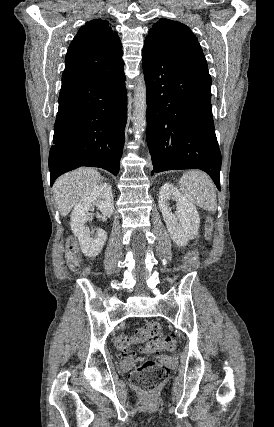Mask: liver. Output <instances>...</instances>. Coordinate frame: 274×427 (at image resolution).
<instances>
[{
  "label": "liver",
  "mask_w": 274,
  "mask_h": 427,
  "mask_svg": "<svg viewBox=\"0 0 274 427\" xmlns=\"http://www.w3.org/2000/svg\"><path fill=\"white\" fill-rule=\"evenodd\" d=\"M99 182H101L100 174L93 168H78L58 178L53 186V192L60 214H69L82 196L91 192Z\"/></svg>",
  "instance_id": "liver-1"
}]
</instances>
